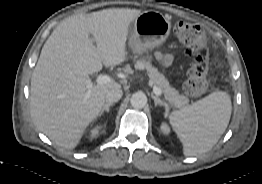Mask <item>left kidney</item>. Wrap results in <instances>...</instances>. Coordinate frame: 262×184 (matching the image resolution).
<instances>
[{
  "instance_id": "left-kidney-1",
  "label": "left kidney",
  "mask_w": 262,
  "mask_h": 184,
  "mask_svg": "<svg viewBox=\"0 0 262 184\" xmlns=\"http://www.w3.org/2000/svg\"><path fill=\"white\" fill-rule=\"evenodd\" d=\"M161 130L166 135L170 133V128L166 123H162Z\"/></svg>"
}]
</instances>
